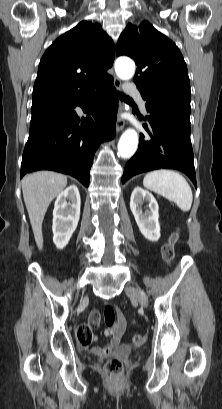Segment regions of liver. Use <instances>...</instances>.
Wrapping results in <instances>:
<instances>
[{
	"label": "liver",
	"mask_w": 222,
	"mask_h": 409,
	"mask_svg": "<svg viewBox=\"0 0 222 409\" xmlns=\"http://www.w3.org/2000/svg\"><path fill=\"white\" fill-rule=\"evenodd\" d=\"M67 185L65 175L38 171L26 175L22 180L24 202L28 211L34 238L38 248L43 247L42 223L48 206Z\"/></svg>",
	"instance_id": "obj_1"
}]
</instances>
